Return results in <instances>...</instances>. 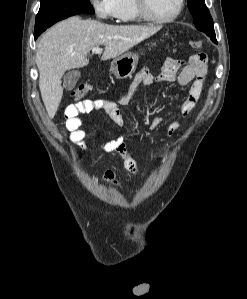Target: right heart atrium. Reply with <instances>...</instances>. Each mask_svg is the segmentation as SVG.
Here are the masks:
<instances>
[{"instance_id":"1","label":"right heart atrium","mask_w":247,"mask_h":299,"mask_svg":"<svg viewBox=\"0 0 247 299\" xmlns=\"http://www.w3.org/2000/svg\"><path fill=\"white\" fill-rule=\"evenodd\" d=\"M89 2L99 19L108 20L115 17V0H89Z\"/></svg>"}]
</instances>
